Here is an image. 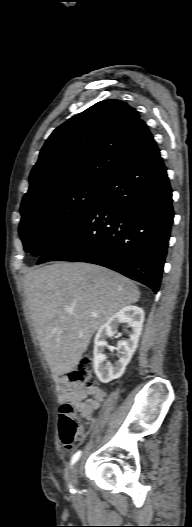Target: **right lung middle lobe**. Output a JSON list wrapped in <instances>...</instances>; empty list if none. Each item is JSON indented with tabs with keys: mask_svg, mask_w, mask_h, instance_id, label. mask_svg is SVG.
Here are the masks:
<instances>
[{
	"mask_svg": "<svg viewBox=\"0 0 192 527\" xmlns=\"http://www.w3.org/2000/svg\"><path fill=\"white\" fill-rule=\"evenodd\" d=\"M104 186L85 181L23 202L19 234L25 251L45 254L87 214Z\"/></svg>",
	"mask_w": 192,
	"mask_h": 527,
	"instance_id": "dd1d6c3e",
	"label": "right lung middle lobe"
}]
</instances>
